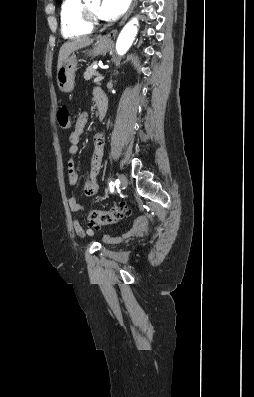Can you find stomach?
I'll return each instance as SVG.
<instances>
[{"label": "stomach", "mask_w": 254, "mask_h": 397, "mask_svg": "<svg viewBox=\"0 0 254 397\" xmlns=\"http://www.w3.org/2000/svg\"><path fill=\"white\" fill-rule=\"evenodd\" d=\"M111 41L100 38L93 45L92 49L85 50L83 53L89 56L105 54L111 48ZM77 70V56L72 54L68 56L57 70V84L61 91L71 92L74 89L75 72Z\"/></svg>", "instance_id": "obj_1"}]
</instances>
